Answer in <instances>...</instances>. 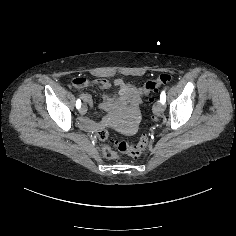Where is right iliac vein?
<instances>
[{"label":"right iliac vein","instance_id":"63e3f726","mask_svg":"<svg viewBox=\"0 0 236 236\" xmlns=\"http://www.w3.org/2000/svg\"><path fill=\"white\" fill-rule=\"evenodd\" d=\"M79 112L81 115H84L86 113V107L83 105L80 109Z\"/></svg>","mask_w":236,"mask_h":236}]
</instances>
